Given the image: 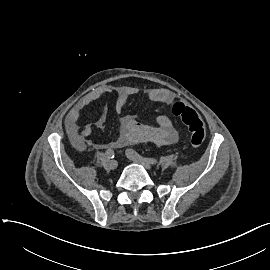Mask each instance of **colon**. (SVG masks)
I'll list each match as a JSON object with an SVG mask.
<instances>
[{
    "label": "colon",
    "mask_w": 270,
    "mask_h": 270,
    "mask_svg": "<svg viewBox=\"0 0 270 270\" xmlns=\"http://www.w3.org/2000/svg\"><path fill=\"white\" fill-rule=\"evenodd\" d=\"M171 112L187 126L191 147L199 148L205 139V128L195 110L183 102H176L172 105Z\"/></svg>",
    "instance_id": "colon-1"
}]
</instances>
